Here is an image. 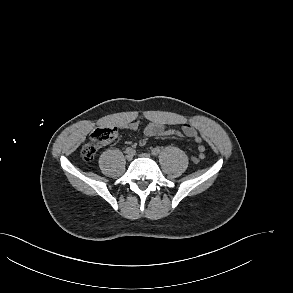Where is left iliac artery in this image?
Masks as SVG:
<instances>
[{"label":"left iliac artery","mask_w":293,"mask_h":293,"mask_svg":"<svg viewBox=\"0 0 293 293\" xmlns=\"http://www.w3.org/2000/svg\"><path fill=\"white\" fill-rule=\"evenodd\" d=\"M152 155L157 156L160 153V149L158 147L152 149L151 151Z\"/></svg>","instance_id":"1"}]
</instances>
